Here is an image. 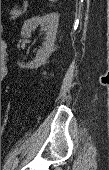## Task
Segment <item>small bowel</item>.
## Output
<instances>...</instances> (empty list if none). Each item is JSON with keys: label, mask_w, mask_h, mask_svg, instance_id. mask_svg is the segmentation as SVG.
Returning a JSON list of instances; mask_svg holds the SVG:
<instances>
[{"label": "small bowel", "mask_w": 109, "mask_h": 170, "mask_svg": "<svg viewBox=\"0 0 109 170\" xmlns=\"http://www.w3.org/2000/svg\"><path fill=\"white\" fill-rule=\"evenodd\" d=\"M1 45H2V47H4V48L6 47V43H5L4 41L1 42ZM1 77L4 78V77H5V74H2Z\"/></svg>", "instance_id": "obj_1"}]
</instances>
